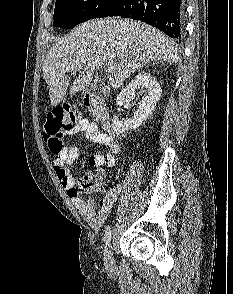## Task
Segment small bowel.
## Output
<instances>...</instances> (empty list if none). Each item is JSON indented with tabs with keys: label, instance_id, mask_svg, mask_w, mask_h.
<instances>
[{
	"label": "small bowel",
	"instance_id": "c3829d8e",
	"mask_svg": "<svg viewBox=\"0 0 233 294\" xmlns=\"http://www.w3.org/2000/svg\"><path fill=\"white\" fill-rule=\"evenodd\" d=\"M70 134L84 135V140H90L93 143L104 145L107 147L105 155L93 154L89 158V164L93 167H112L115 164V156L119 151L118 144L114 141L111 134L103 132L94 121L82 119L74 128L69 132ZM79 157V148L75 145L68 146L60 158L53 160L54 173L61 183L62 187L66 190L74 207L86 222L94 229L99 230L108 216L111 214L115 203L121 193V186L115 184L111 186L105 196L100 200L99 208L96 209L95 201L91 198H82L78 195L75 188V181L72 178L69 167ZM101 179L103 175L97 174Z\"/></svg>",
	"mask_w": 233,
	"mask_h": 294
}]
</instances>
